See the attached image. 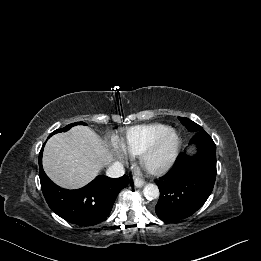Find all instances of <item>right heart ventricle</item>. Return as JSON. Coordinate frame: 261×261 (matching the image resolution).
Instances as JSON below:
<instances>
[{
	"label": "right heart ventricle",
	"mask_w": 261,
	"mask_h": 261,
	"mask_svg": "<svg viewBox=\"0 0 261 261\" xmlns=\"http://www.w3.org/2000/svg\"><path fill=\"white\" fill-rule=\"evenodd\" d=\"M167 125L154 123L130 128L118 146L131 156L141 155L160 135L169 131Z\"/></svg>",
	"instance_id": "obj_1"
}]
</instances>
